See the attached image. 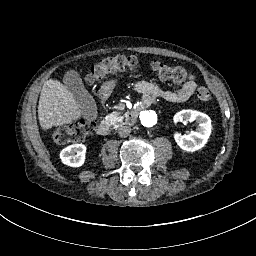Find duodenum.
<instances>
[{"label":"duodenum","mask_w":256,"mask_h":256,"mask_svg":"<svg viewBox=\"0 0 256 256\" xmlns=\"http://www.w3.org/2000/svg\"><path fill=\"white\" fill-rule=\"evenodd\" d=\"M115 89H116V85L114 81L107 79L103 81L100 87H98L96 94L98 98L105 100L109 98L110 94L114 93ZM148 105H149L148 100L146 99L140 100L139 102L133 105L132 107L133 114L135 115L140 114V112L144 110V108L148 107ZM96 131H97V134L100 136H107L110 132V126L107 123L102 122L97 126Z\"/></svg>","instance_id":"410a0bca"}]
</instances>
